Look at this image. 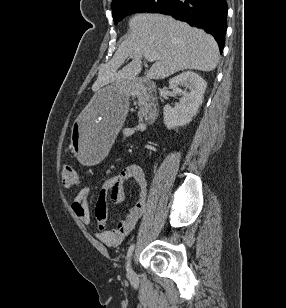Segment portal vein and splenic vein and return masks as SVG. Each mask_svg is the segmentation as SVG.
<instances>
[{
  "label": "portal vein and splenic vein",
  "instance_id": "portal-vein-and-splenic-vein-1",
  "mask_svg": "<svg viewBox=\"0 0 286 308\" xmlns=\"http://www.w3.org/2000/svg\"><path fill=\"white\" fill-rule=\"evenodd\" d=\"M145 58L150 61L153 62L157 59H159V54L157 52H150V53H144Z\"/></svg>",
  "mask_w": 286,
  "mask_h": 308
}]
</instances>
